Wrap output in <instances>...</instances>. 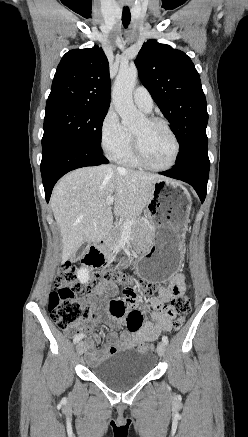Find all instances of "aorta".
Returning a JSON list of instances; mask_svg holds the SVG:
<instances>
[{
  "mask_svg": "<svg viewBox=\"0 0 248 437\" xmlns=\"http://www.w3.org/2000/svg\"><path fill=\"white\" fill-rule=\"evenodd\" d=\"M137 73L135 67L120 70L113 88V104L122 119V124L126 127L135 126L143 118V114L136 109L132 99Z\"/></svg>",
  "mask_w": 248,
  "mask_h": 437,
  "instance_id": "aorta-1",
  "label": "aorta"
}]
</instances>
